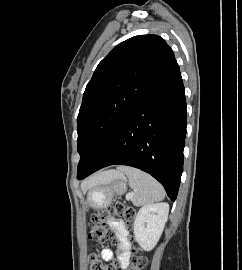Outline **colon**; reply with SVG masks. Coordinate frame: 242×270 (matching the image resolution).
Listing matches in <instances>:
<instances>
[{
  "label": "colon",
  "mask_w": 242,
  "mask_h": 270,
  "mask_svg": "<svg viewBox=\"0 0 242 270\" xmlns=\"http://www.w3.org/2000/svg\"><path fill=\"white\" fill-rule=\"evenodd\" d=\"M135 210L122 202H116L113 206L105 207L96 211L90 220L91 230L89 239L97 243H114L112 232L108 226L113 217H119L131 222L135 217ZM146 266V259L134 253L132 257L131 270H143ZM89 270H117L115 264H105L96 254L89 256Z\"/></svg>",
  "instance_id": "colon-1"
}]
</instances>
